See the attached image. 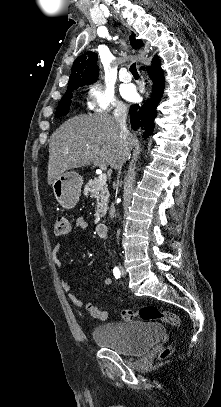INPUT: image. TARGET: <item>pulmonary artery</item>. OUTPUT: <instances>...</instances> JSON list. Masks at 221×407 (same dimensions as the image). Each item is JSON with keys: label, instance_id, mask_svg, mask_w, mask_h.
<instances>
[{"label": "pulmonary artery", "instance_id": "obj_1", "mask_svg": "<svg viewBox=\"0 0 221 407\" xmlns=\"http://www.w3.org/2000/svg\"><path fill=\"white\" fill-rule=\"evenodd\" d=\"M119 79L122 82H129L131 81V75L127 72L126 68H122L119 72Z\"/></svg>", "mask_w": 221, "mask_h": 407}]
</instances>
